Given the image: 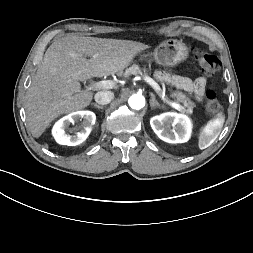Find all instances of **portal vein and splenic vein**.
Returning a JSON list of instances; mask_svg holds the SVG:
<instances>
[{
    "mask_svg": "<svg viewBox=\"0 0 253 253\" xmlns=\"http://www.w3.org/2000/svg\"><path fill=\"white\" fill-rule=\"evenodd\" d=\"M144 80L150 84L154 90L159 93L163 99H165V94L162 92L159 84L153 80L151 77L149 76H144ZM116 85V82L113 81V80H103V81H99L97 83L94 84V87L97 88V89H112L114 88ZM168 103L170 104V106H172L173 108H175L176 110H182V106L176 102H171V101H168Z\"/></svg>",
    "mask_w": 253,
    "mask_h": 253,
    "instance_id": "1",
    "label": "portal vein and splenic vein"
}]
</instances>
